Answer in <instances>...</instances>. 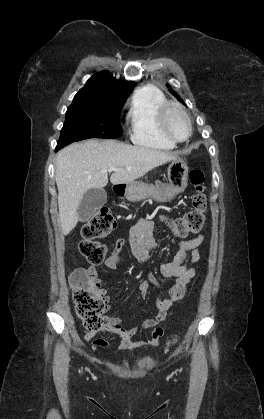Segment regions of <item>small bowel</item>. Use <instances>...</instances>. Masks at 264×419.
Wrapping results in <instances>:
<instances>
[{"mask_svg":"<svg viewBox=\"0 0 264 419\" xmlns=\"http://www.w3.org/2000/svg\"><path fill=\"white\" fill-rule=\"evenodd\" d=\"M160 219L163 222L169 220L165 215H161ZM153 222L149 219H140L130 230V243L134 250L135 256L140 261H146L150 257L151 248L146 244V240L151 235L153 230ZM204 236L198 235L192 239L182 241L179 244L178 251L173 261L162 264L160 266V273L165 278L174 280L173 285L167 290L166 296H160L156 299L155 307L157 309L156 315L143 320L138 325L127 329L124 324L125 319L121 317L107 316L102 330L109 331L118 335L121 338L120 348L123 351H132L143 346L155 347L159 344L164 330L160 324L166 319L172 305L176 302H182L186 295L187 285L197 274V270L192 267L193 264L201 259V252L199 247L203 243ZM124 240L119 238L116 240L113 251L119 252ZM108 266L113 268V265L108 263ZM96 283L99 293L104 297L106 302L110 301L107 291L101 288V280L98 277V272L95 265H91L84 270ZM150 286L159 287V281L154 274H149L147 280L139 284V290L142 296H146ZM109 308V307H108ZM148 328H154L151 339L148 342L134 341L133 337L140 331ZM96 332L89 331L84 335L86 341L94 338ZM94 346L105 349L108 343L104 339H95Z\"/></svg>","mask_w":264,"mask_h":419,"instance_id":"1","label":"small bowel"}]
</instances>
